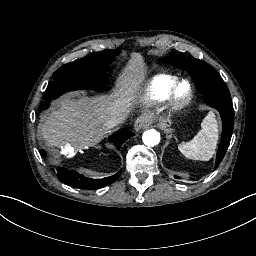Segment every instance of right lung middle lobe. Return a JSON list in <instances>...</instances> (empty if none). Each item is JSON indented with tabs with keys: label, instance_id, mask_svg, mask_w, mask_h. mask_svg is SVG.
<instances>
[{
	"label": "right lung middle lobe",
	"instance_id": "1",
	"mask_svg": "<svg viewBox=\"0 0 256 256\" xmlns=\"http://www.w3.org/2000/svg\"><path fill=\"white\" fill-rule=\"evenodd\" d=\"M117 52L106 49L101 52L92 53L78 61L63 65L53 74V81H50L44 94L46 101L58 97L66 91L93 88L102 89L100 84L101 76L104 74L106 63ZM49 102L41 104L45 109Z\"/></svg>",
	"mask_w": 256,
	"mask_h": 256
}]
</instances>
